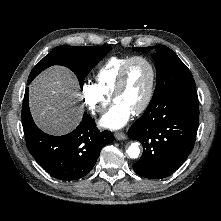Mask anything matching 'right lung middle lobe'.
<instances>
[{
	"label": "right lung middle lobe",
	"mask_w": 221,
	"mask_h": 221,
	"mask_svg": "<svg viewBox=\"0 0 221 221\" xmlns=\"http://www.w3.org/2000/svg\"><path fill=\"white\" fill-rule=\"evenodd\" d=\"M111 50L109 45L93 46H68L56 47L46 55L31 71L29 81H32L41 71L52 65H62L71 69L77 76L80 86L92 68L103 59Z\"/></svg>",
	"instance_id": "right-lung-middle-lobe-1"
}]
</instances>
